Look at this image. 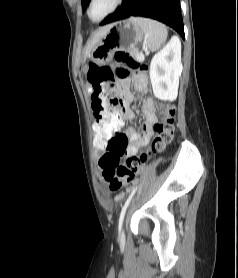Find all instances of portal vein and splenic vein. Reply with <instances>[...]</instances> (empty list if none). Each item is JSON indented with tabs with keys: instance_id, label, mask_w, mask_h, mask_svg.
<instances>
[{
	"instance_id": "portal-vein-and-splenic-vein-1",
	"label": "portal vein and splenic vein",
	"mask_w": 238,
	"mask_h": 278,
	"mask_svg": "<svg viewBox=\"0 0 238 278\" xmlns=\"http://www.w3.org/2000/svg\"><path fill=\"white\" fill-rule=\"evenodd\" d=\"M138 59H139V60H144V55H143V53L140 54V56H139Z\"/></svg>"
}]
</instances>
